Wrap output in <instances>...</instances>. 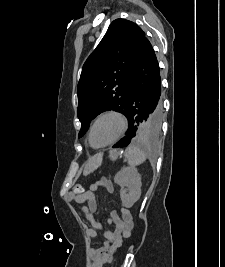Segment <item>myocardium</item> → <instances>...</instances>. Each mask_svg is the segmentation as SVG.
Instances as JSON below:
<instances>
[{
    "label": "myocardium",
    "mask_w": 225,
    "mask_h": 267,
    "mask_svg": "<svg viewBox=\"0 0 225 267\" xmlns=\"http://www.w3.org/2000/svg\"><path fill=\"white\" fill-rule=\"evenodd\" d=\"M106 116H115L117 117L119 120H120V123H121V128H120V131L118 133V135L113 138L111 141L103 144V145H100V146H95L93 143H92V140H91V135H92V131H93V128L95 126V124L103 117H106ZM127 129H128V119H127V116L120 110H117V109H109V110H106L102 113H100L94 120L93 122L91 123L90 127H89V131H88V136H87V139H88V142L90 144V146L94 149H102V148H105V147H108L110 145H113L115 143H117L119 140H121L123 138V136L125 135V133L127 132Z\"/></svg>",
    "instance_id": "1"
}]
</instances>
